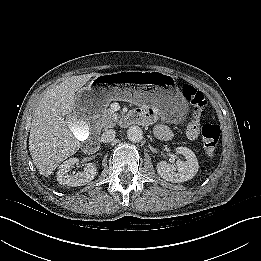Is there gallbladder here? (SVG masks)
<instances>
[{
    "label": "gallbladder",
    "mask_w": 261,
    "mask_h": 261,
    "mask_svg": "<svg viewBox=\"0 0 261 261\" xmlns=\"http://www.w3.org/2000/svg\"><path fill=\"white\" fill-rule=\"evenodd\" d=\"M66 123L77 140L84 141L88 138L89 130L85 122L75 118L73 115H69L66 118Z\"/></svg>",
    "instance_id": "1"
}]
</instances>
